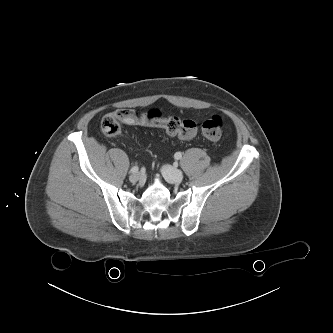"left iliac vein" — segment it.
I'll list each match as a JSON object with an SVG mask.
<instances>
[{"label": "left iliac vein", "mask_w": 333, "mask_h": 333, "mask_svg": "<svg viewBox=\"0 0 333 333\" xmlns=\"http://www.w3.org/2000/svg\"><path fill=\"white\" fill-rule=\"evenodd\" d=\"M161 171L165 179L170 183H181L183 180L182 171L169 165L163 166Z\"/></svg>", "instance_id": "4c4485c4"}]
</instances>
